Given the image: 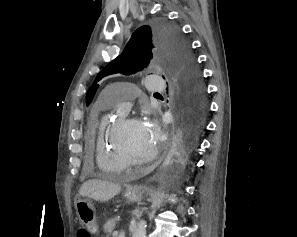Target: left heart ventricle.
I'll use <instances>...</instances> for the list:
<instances>
[{"label": "left heart ventricle", "mask_w": 297, "mask_h": 237, "mask_svg": "<svg viewBox=\"0 0 297 237\" xmlns=\"http://www.w3.org/2000/svg\"><path fill=\"white\" fill-rule=\"evenodd\" d=\"M122 141L135 158H145L156 149V145L146 136L140 121L130 124L124 130Z\"/></svg>", "instance_id": "1"}]
</instances>
